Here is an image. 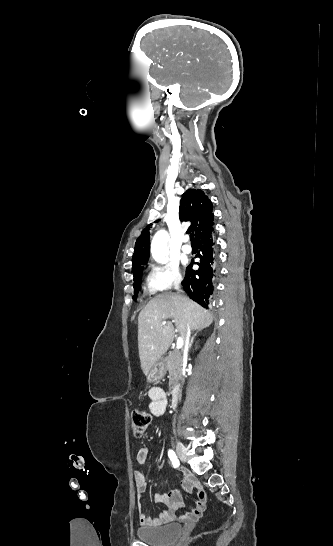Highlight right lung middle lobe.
Returning <instances> with one entry per match:
<instances>
[{
    "label": "right lung middle lobe",
    "mask_w": 333,
    "mask_h": 546,
    "mask_svg": "<svg viewBox=\"0 0 333 546\" xmlns=\"http://www.w3.org/2000/svg\"><path fill=\"white\" fill-rule=\"evenodd\" d=\"M140 278H139V274L134 276V296H133V299L135 300L136 297H137V294H138V290H139V285H140Z\"/></svg>",
    "instance_id": "dd1d6c3e"
}]
</instances>
